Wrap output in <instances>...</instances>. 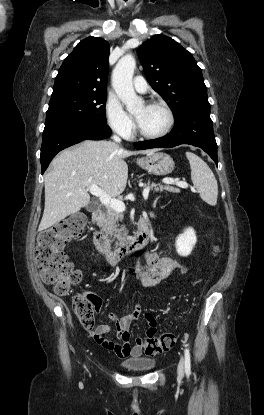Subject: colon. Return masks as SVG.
<instances>
[{
    "label": "colon",
    "instance_id": "1",
    "mask_svg": "<svg viewBox=\"0 0 264 415\" xmlns=\"http://www.w3.org/2000/svg\"><path fill=\"white\" fill-rule=\"evenodd\" d=\"M85 224V216L78 213L38 233L36 264L43 282L54 286L57 295L68 294L82 278L81 271L68 260L63 249L69 241L83 234ZM97 302V297L88 292H81L73 297V311L83 327L93 326L98 311ZM143 342L148 355H159L174 345L175 337L170 334L156 336L148 332Z\"/></svg>",
    "mask_w": 264,
    "mask_h": 415
}]
</instances>
